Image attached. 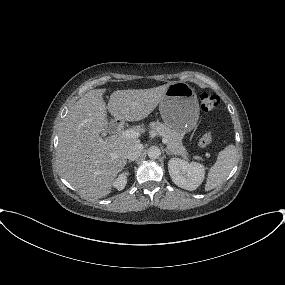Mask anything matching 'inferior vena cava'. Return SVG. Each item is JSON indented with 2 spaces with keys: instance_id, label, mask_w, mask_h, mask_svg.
<instances>
[{
  "instance_id": "inferior-vena-cava-1",
  "label": "inferior vena cava",
  "mask_w": 285,
  "mask_h": 285,
  "mask_svg": "<svg viewBox=\"0 0 285 285\" xmlns=\"http://www.w3.org/2000/svg\"><path fill=\"white\" fill-rule=\"evenodd\" d=\"M144 149L143 144L137 142L133 145L130 146L128 152H127V158L129 161H134L139 158L141 155L142 151Z\"/></svg>"
}]
</instances>
